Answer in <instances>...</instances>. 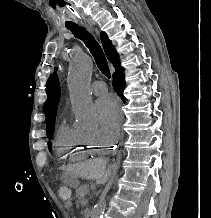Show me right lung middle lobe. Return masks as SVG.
<instances>
[{"label":"right lung middle lobe","mask_w":211,"mask_h":218,"mask_svg":"<svg viewBox=\"0 0 211 218\" xmlns=\"http://www.w3.org/2000/svg\"><path fill=\"white\" fill-rule=\"evenodd\" d=\"M123 102H125V99H123ZM53 133L48 136V139H52ZM49 148L51 147V143L48 144Z\"/></svg>","instance_id":"right-lung-middle-lobe-1"}]
</instances>
